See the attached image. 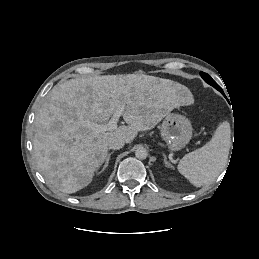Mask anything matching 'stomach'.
<instances>
[{
    "instance_id": "obj_1",
    "label": "stomach",
    "mask_w": 259,
    "mask_h": 259,
    "mask_svg": "<svg viewBox=\"0 0 259 259\" xmlns=\"http://www.w3.org/2000/svg\"><path fill=\"white\" fill-rule=\"evenodd\" d=\"M183 91L188 90L184 88ZM192 131L189 119L177 113H168L161 125V136L171 151L184 148L192 137Z\"/></svg>"
}]
</instances>
